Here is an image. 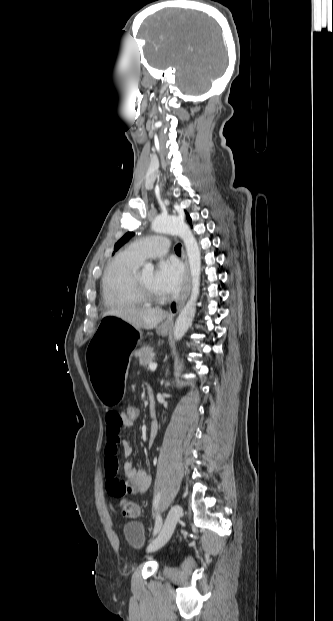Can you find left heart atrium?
Returning a JSON list of instances; mask_svg holds the SVG:
<instances>
[{"instance_id":"39dd6f15","label":"left heart atrium","mask_w":333,"mask_h":621,"mask_svg":"<svg viewBox=\"0 0 333 621\" xmlns=\"http://www.w3.org/2000/svg\"><path fill=\"white\" fill-rule=\"evenodd\" d=\"M154 282L164 294H174L182 286L183 269L175 260L162 261L154 272Z\"/></svg>"}]
</instances>
